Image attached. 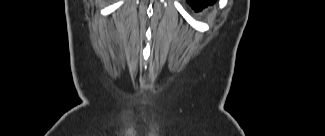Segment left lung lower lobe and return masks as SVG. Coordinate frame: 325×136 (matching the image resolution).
I'll use <instances>...</instances> for the list:
<instances>
[{"mask_svg":"<svg viewBox=\"0 0 325 136\" xmlns=\"http://www.w3.org/2000/svg\"><path fill=\"white\" fill-rule=\"evenodd\" d=\"M194 10H199L202 7L207 6L208 4L214 3V0H187Z\"/></svg>","mask_w":325,"mask_h":136,"instance_id":"0a47b994","label":"left lung lower lobe"}]
</instances>
